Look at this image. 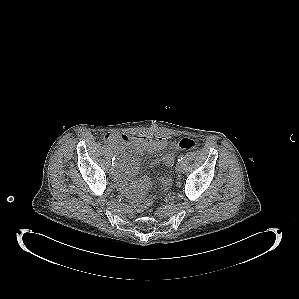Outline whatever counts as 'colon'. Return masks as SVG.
<instances>
[{"mask_svg": "<svg viewBox=\"0 0 299 299\" xmlns=\"http://www.w3.org/2000/svg\"><path fill=\"white\" fill-rule=\"evenodd\" d=\"M196 146V141L194 138L184 137L179 140L178 147L182 150H192ZM150 201H146L144 205H149Z\"/></svg>", "mask_w": 299, "mask_h": 299, "instance_id": "colon-1", "label": "colon"}]
</instances>
